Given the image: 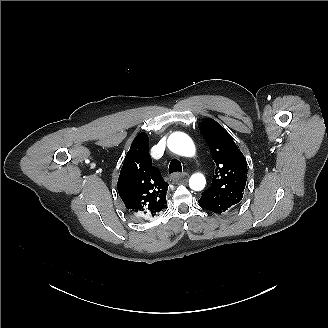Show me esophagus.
I'll use <instances>...</instances> for the list:
<instances>
[{
	"label": "esophagus",
	"mask_w": 328,
	"mask_h": 328,
	"mask_svg": "<svg viewBox=\"0 0 328 328\" xmlns=\"http://www.w3.org/2000/svg\"><path fill=\"white\" fill-rule=\"evenodd\" d=\"M188 174L187 173H173V174H171L170 175V178L172 179V180H175V179H180V178H183V177H185V176H187Z\"/></svg>",
	"instance_id": "34e87169"
}]
</instances>
